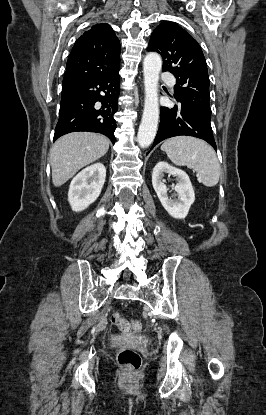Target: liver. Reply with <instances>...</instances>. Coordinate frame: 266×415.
Returning a JSON list of instances; mask_svg holds the SVG:
<instances>
[{"label":"liver","mask_w":266,"mask_h":415,"mask_svg":"<svg viewBox=\"0 0 266 415\" xmlns=\"http://www.w3.org/2000/svg\"><path fill=\"white\" fill-rule=\"evenodd\" d=\"M109 139L89 132H75L59 138L51 148L52 182L59 187L80 169L104 156Z\"/></svg>","instance_id":"1"}]
</instances>
